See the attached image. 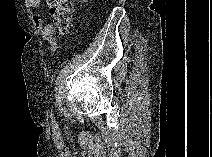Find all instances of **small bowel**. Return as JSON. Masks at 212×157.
Instances as JSON below:
<instances>
[{"label":"small bowel","instance_id":"obj_1","mask_svg":"<svg viewBox=\"0 0 212 157\" xmlns=\"http://www.w3.org/2000/svg\"><path fill=\"white\" fill-rule=\"evenodd\" d=\"M41 4V0H28L27 6L30 8L39 7ZM32 21L35 27L40 32L44 41H46L49 45V48L52 52H55L58 48V44L56 38L54 36V27L51 23H44L41 16L38 14H34L32 16Z\"/></svg>","mask_w":212,"mask_h":157}]
</instances>
